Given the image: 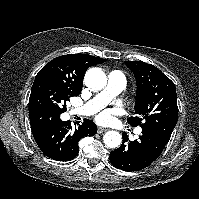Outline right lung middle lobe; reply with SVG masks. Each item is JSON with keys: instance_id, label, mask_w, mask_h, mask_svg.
Masks as SVG:
<instances>
[{"instance_id": "1", "label": "right lung middle lobe", "mask_w": 199, "mask_h": 199, "mask_svg": "<svg viewBox=\"0 0 199 199\" xmlns=\"http://www.w3.org/2000/svg\"><path fill=\"white\" fill-rule=\"evenodd\" d=\"M80 92L55 80H34L29 98V109L49 107L63 113L67 110L66 102Z\"/></svg>"}]
</instances>
